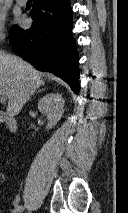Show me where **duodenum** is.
Returning <instances> with one entry per match:
<instances>
[{"mask_svg": "<svg viewBox=\"0 0 128 213\" xmlns=\"http://www.w3.org/2000/svg\"><path fill=\"white\" fill-rule=\"evenodd\" d=\"M0 122L11 132H16L18 128L15 118L2 111H0Z\"/></svg>", "mask_w": 128, "mask_h": 213, "instance_id": "obj_1", "label": "duodenum"}]
</instances>
